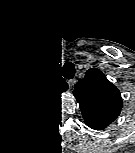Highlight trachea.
Instances as JSON below:
<instances>
[{
	"label": "trachea",
	"mask_w": 135,
	"mask_h": 153,
	"mask_svg": "<svg viewBox=\"0 0 135 153\" xmlns=\"http://www.w3.org/2000/svg\"><path fill=\"white\" fill-rule=\"evenodd\" d=\"M63 74L66 78L71 79L75 74V68L72 63H66L63 67Z\"/></svg>",
	"instance_id": "1"
}]
</instances>
